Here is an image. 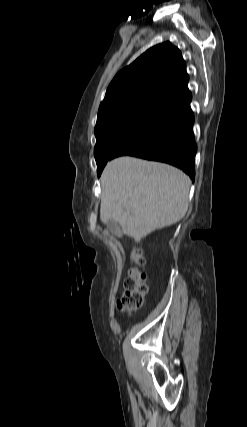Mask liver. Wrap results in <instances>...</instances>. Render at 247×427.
Wrapping results in <instances>:
<instances>
[{"instance_id": "obj_1", "label": "liver", "mask_w": 247, "mask_h": 427, "mask_svg": "<svg viewBox=\"0 0 247 427\" xmlns=\"http://www.w3.org/2000/svg\"><path fill=\"white\" fill-rule=\"evenodd\" d=\"M190 184L184 172L168 164L116 158L101 175V221L115 220L138 243L184 217Z\"/></svg>"}]
</instances>
